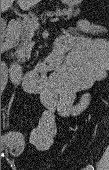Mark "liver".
<instances>
[{
	"label": "liver",
	"mask_w": 109,
	"mask_h": 170,
	"mask_svg": "<svg viewBox=\"0 0 109 170\" xmlns=\"http://www.w3.org/2000/svg\"><path fill=\"white\" fill-rule=\"evenodd\" d=\"M40 0H20L21 4L23 7H29L37 2H39Z\"/></svg>",
	"instance_id": "6515ba94"
}]
</instances>
